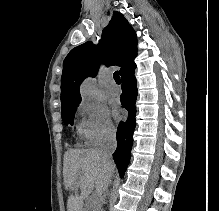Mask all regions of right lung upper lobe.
<instances>
[{"instance_id": "obj_1", "label": "right lung upper lobe", "mask_w": 219, "mask_h": 211, "mask_svg": "<svg viewBox=\"0 0 219 211\" xmlns=\"http://www.w3.org/2000/svg\"><path fill=\"white\" fill-rule=\"evenodd\" d=\"M136 34L117 11L103 29L98 45L87 42L73 48L63 62L61 104L81 101L80 84L88 76H96L100 62L121 66L120 75L134 65L137 54Z\"/></svg>"}]
</instances>
